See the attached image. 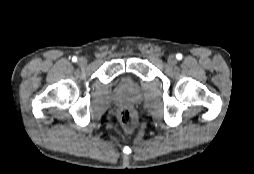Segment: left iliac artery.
Returning a JSON list of instances; mask_svg holds the SVG:
<instances>
[{"mask_svg":"<svg viewBox=\"0 0 254 174\" xmlns=\"http://www.w3.org/2000/svg\"><path fill=\"white\" fill-rule=\"evenodd\" d=\"M176 58H177L178 60H181V59H182V54L178 53V54L176 55Z\"/></svg>","mask_w":254,"mask_h":174,"instance_id":"left-iliac-artery-1","label":"left iliac artery"}]
</instances>
